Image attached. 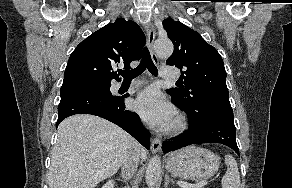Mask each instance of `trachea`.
I'll use <instances>...</instances> for the list:
<instances>
[{
    "instance_id": "3493384b",
    "label": "trachea",
    "mask_w": 292,
    "mask_h": 188,
    "mask_svg": "<svg viewBox=\"0 0 292 188\" xmlns=\"http://www.w3.org/2000/svg\"><path fill=\"white\" fill-rule=\"evenodd\" d=\"M146 68L152 75L157 76L158 70L151 59L149 50L145 47L140 64L135 69L123 71L120 74L125 80H129L141 75Z\"/></svg>"
}]
</instances>
